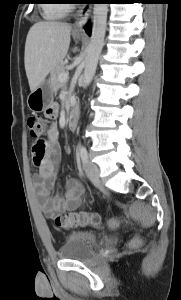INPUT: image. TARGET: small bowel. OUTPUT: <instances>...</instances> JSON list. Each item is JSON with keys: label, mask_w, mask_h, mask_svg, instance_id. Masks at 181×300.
I'll return each mask as SVG.
<instances>
[{"label": "small bowel", "mask_w": 181, "mask_h": 300, "mask_svg": "<svg viewBox=\"0 0 181 300\" xmlns=\"http://www.w3.org/2000/svg\"><path fill=\"white\" fill-rule=\"evenodd\" d=\"M59 107L56 103L50 105L45 115L48 119L54 120L58 116ZM58 129L52 123L47 130L46 147L42 153L32 150L33 162L38 172L34 178V186L37 196L41 201L44 213L50 217L55 214L76 209L82 200L83 189L77 179L71 178L66 181L65 193L51 195V190L57 182V162L59 159Z\"/></svg>", "instance_id": "obj_1"}]
</instances>
